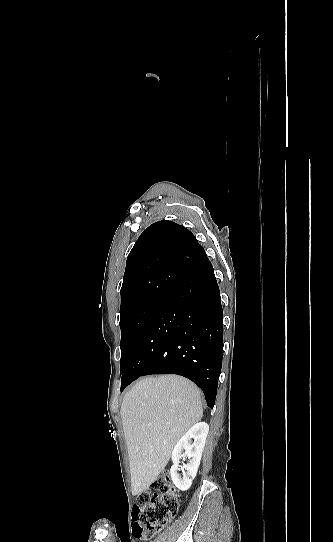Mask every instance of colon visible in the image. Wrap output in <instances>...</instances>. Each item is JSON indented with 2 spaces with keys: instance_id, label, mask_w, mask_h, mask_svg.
<instances>
[{
  "instance_id": "obj_1",
  "label": "colon",
  "mask_w": 333,
  "mask_h": 542,
  "mask_svg": "<svg viewBox=\"0 0 333 542\" xmlns=\"http://www.w3.org/2000/svg\"><path fill=\"white\" fill-rule=\"evenodd\" d=\"M159 494L143 491L137 498L133 532L137 539H150L177 514L180 495L170 472H162L154 482Z\"/></svg>"
}]
</instances>
